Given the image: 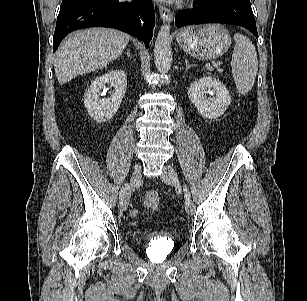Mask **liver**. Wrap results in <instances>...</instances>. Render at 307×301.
<instances>
[{
  "label": "liver",
  "instance_id": "6515ba94",
  "mask_svg": "<svg viewBox=\"0 0 307 301\" xmlns=\"http://www.w3.org/2000/svg\"><path fill=\"white\" fill-rule=\"evenodd\" d=\"M130 36L109 28H90L71 33L55 53L54 68L60 84L78 75L106 67L117 59Z\"/></svg>",
  "mask_w": 307,
  "mask_h": 301
}]
</instances>
